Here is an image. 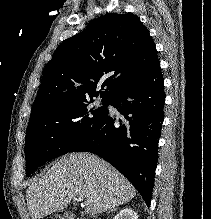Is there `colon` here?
Instances as JSON below:
<instances>
[{
  "instance_id": "colon-1",
  "label": "colon",
  "mask_w": 211,
  "mask_h": 219,
  "mask_svg": "<svg viewBox=\"0 0 211 219\" xmlns=\"http://www.w3.org/2000/svg\"><path fill=\"white\" fill-rule=\"evenodd\" d=\"M49 219H97V218H75L69 214H65V213H60L57 216L53 217V218H49Z\"/></svg>"
}]
</instances>
